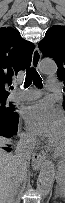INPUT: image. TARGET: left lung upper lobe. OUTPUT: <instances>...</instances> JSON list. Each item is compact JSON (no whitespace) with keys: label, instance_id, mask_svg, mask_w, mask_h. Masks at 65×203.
<instances>
[{"label":"left lung upper lobe","instance_id":"left-lung-upper-lobe-1","mask_svg":"<svg viewBox=\"0 0 65 203\" xmlns=\"http://www.w3.org/2000/svg\"><path fill=\"white\" fill-rule=\"evenodd\" d=\"M38 47L44 57L55 60L58 66L57 75L65 83V26L55 25L50 28ZM63 107L65 110V96Z\"/></svg>","mask_w":65,"mask_h":203}]
</instances>
